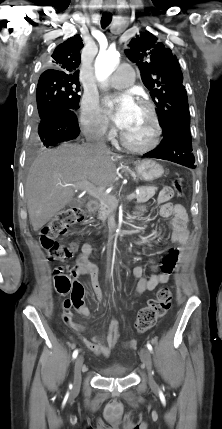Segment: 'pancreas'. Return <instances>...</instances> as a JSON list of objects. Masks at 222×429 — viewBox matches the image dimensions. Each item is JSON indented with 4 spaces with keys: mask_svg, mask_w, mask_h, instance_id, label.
<instances>
[{
    "mask_svg": "<svg viewBox=\"0 0 222 429\" xmlns=\"http://www.w3.org/2000/svg\"><path fill=\"white\" fill-rule=\"evenodd\" d=\"M158 190L155 186H142L139 188V193L135 194V199L137 203H144L151 199L156 191ZM115 198V196L107 195L103 199L100 200V210L98 218L103 222L106 219L113 218L115 214V210L118 206V203L111 200Z\"/></svg>",
    "mask_w": 222,
    "mask_h": 429,
    "instance_id": "cf45deb5",
    "label": "pancreas"
}]
</instances>
